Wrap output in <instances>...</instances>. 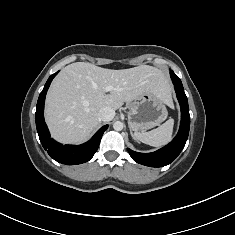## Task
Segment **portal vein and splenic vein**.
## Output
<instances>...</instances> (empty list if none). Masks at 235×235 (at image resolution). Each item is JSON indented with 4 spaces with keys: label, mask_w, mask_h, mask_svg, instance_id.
Returning <instances> with one entry per match:
<instances>
[{
    "label": "portal vein and splenic vein",
    "mask_w": 235,
    "mask_h": 235,
    "mask_svg": "<svg viewBox=\"0 0 235 235\" xmlns=\"http://www.w3.org/2000/svg\"><path fill=\"white\" fill-rule=\"evenodd\" d=\"M112 89H113L112 86H107V87L105 88V91L108 92V91H111Z\"/></svg>",
    "instance_id": "portal-vein-and-splenic-vein-1"
}]
</instances>
